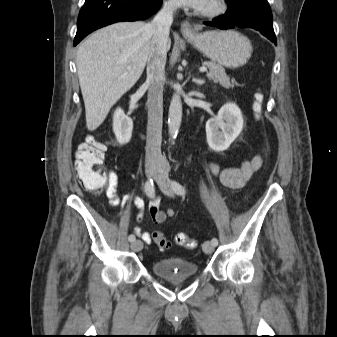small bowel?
<instances>
[{"label":"small bowel","mask_w":337,"mask_h":337,"mask_svg":"<svg viewBox=\"0 0 337 337\" xmlns=\"http://www.w3.org/2000/svg\"><path fill=\"white\" fill-rule=\"evenodd\" d=\"M262 165V158L260 154H255L250 159H245L239 167H228L220 169L219 165L210 161L208 166L210 173L219 179L221 184L229 189L238 190L245 186L246 182ZM108 185L105 191L109 205L113 207H120L123 210L128 202H132L139 210L137 215V221L140 223L143 219L145 203L142 199L125 195L120 198L117 194L118 176L114 171L109 172ZM160 197L156 196L151 201L148 212L152 219V222L156 225L162 224L166 219L173 218L175 211L173 209H167L161 211L159 209ZM135 234L140 237L146 244L152 243L154 240L153 234L148 231H143L139 225L135 227Z\"/></svg>","instance_id":"obj_1"}]
</instances>
